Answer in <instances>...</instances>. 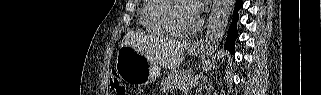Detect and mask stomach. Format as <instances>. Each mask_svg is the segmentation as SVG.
Masks as SVG:
<instances>
[{
    "label": "stomach",
    "mask_w": 321,
    "mask_h": 95,
    "mask_svg": "<svg viewBox=\"0 0 321 95\" xmlns=\"http://www.w3.org/2000/svg\"><path fill=\"white\" fill-rule=\"evenodd\" d=\"M199 52V48L188 49L192 56L198 55ZM116 72L127 83L145 85L157 79L160 67L133 47L122 46L116 57Z\"/></svg>",
    "instance_id": "0dacf381"
}]
</instances>
